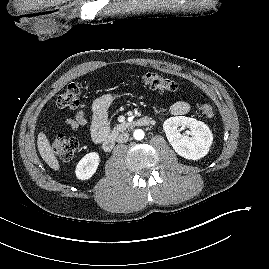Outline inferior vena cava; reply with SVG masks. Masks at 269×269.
I'll return each mask as SVG.
<instances>
[{
  "instance_id": "obj_1",
  "label": "inferior vena cava",
  "mask_w": 269,
  "mask_h": 269,
  "mask_svg": "<svg viewBox=\"0 0 269 269\" xmlns=\"http://www.w3.org/2000/svg\"><path fill=\"white\" fill-rule=\"evenodd\" d=\"M129 134L128 133H122L117 137L118 143H125L128 141Z\"/></svg>"
}]
</instances>
